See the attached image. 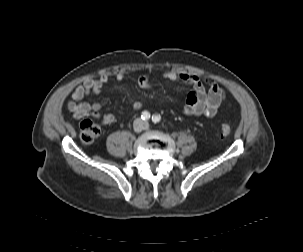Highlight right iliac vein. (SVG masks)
Instances as JSON below:
<instances>
[{
    "label": "right iliac vein",
    "mask_w": 303,
    "mask_h": 252,
    "mask_svg": "<svg viewBox=\"0 0 303 252\" xmlns=\"http://www.w3.org/2000/svg\"><path fill=\"white\" fill-rule=\"evenodd\" d=\"M135 132H140L143 129V125L141 121H138L133 126Z\"/></svg>",
    "instance_id": "63e3f726"
}]
</instances>
